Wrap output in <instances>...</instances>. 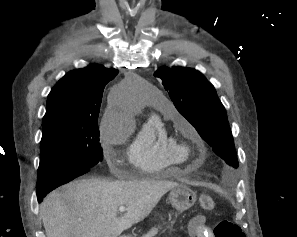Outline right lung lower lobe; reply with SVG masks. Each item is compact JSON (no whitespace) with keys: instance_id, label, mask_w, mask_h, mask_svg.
Wrapping results in <instances>:
<instances>
[{"instance_id":"1","label":"right lung lower lobe","mask_w":297,"mask_h":237,"mask_svg":"<svg viewBox=\"0 0 297 237\" xmlns=\"http://www.w3.org/2000/svg\"><path fill=\"white\" fill-rule=\"evenodd\" d=\"M79 175H72V176H69L68 178H64L60 181V183L58 184V186L60 185H63V184H66L72 180H74L75 178H77ZM57 186V187H58ZM55 189V188H54ZM53 189H48V190H40V189H37V198H38V201L40 202L42 200V198H44L50 191H52Z\"/></svg>"}]
</instances>
